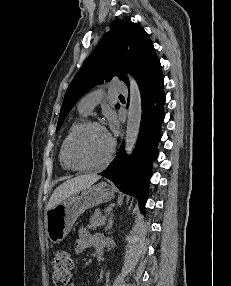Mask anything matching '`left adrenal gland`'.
Listing matches in <instances>:
<instances>
[{"label":"left adrenal gland","mask_w":231,"mask_h":286,"mask_svg":"<svg viewBox=\"0 0 231 286\" xmlns=\"http://www.w3.org/2000/svg\"><path fill=\"white\" fill-rule=\"evenodd\" d=\"M114 221H113V213L110 214L109 216V220H108V224L105 228V231H108V229H110L113 225Z\"/></svg>","instance_id":"obj_1"}]
</instances>
